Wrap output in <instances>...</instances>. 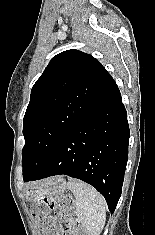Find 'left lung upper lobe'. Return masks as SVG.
I'll return each mask as SVG.
<instances>
[{
	"mask_svg": "<svg viewBox=\"0 0 155 235\" xmlns=\"http://www.w3.org/2000/svg\"><path fill=\"white\" fill-rule=\"evenodd\" d=\"M113 78L91 55L67 50L50 61L31 90L23 119V178L37 173Z\"/></svg>",
	"mask_w": 155,
	"mask_h": 235,
	"instance_id": "obj_1",
	"label": "left lung upper lobe"
}]
</instances>
